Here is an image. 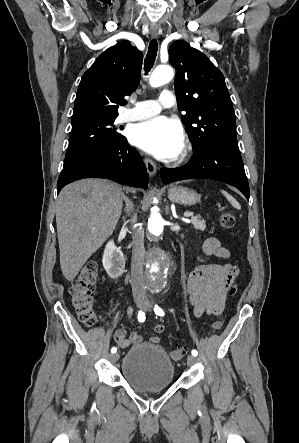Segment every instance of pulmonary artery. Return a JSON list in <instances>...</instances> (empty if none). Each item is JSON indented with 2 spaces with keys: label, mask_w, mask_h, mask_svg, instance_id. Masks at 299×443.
<instances>
[{
  "label": "pulmonary artery",
  "mask_w": 299,
  "mask_h": 443,
  "mask_svg": "<svg viewBox=\"0 0 299 443\" xmlns=\"http://www.w3.org/2000/svg\"><path fill=\"white\" fill-rule=\"evenodd\" d=\"M176 103V99L171 91L164 90L161 92L158 101L145 100V101H133V107L125 110L119 119L122 122L138 121L150 118L157 115L162 108L173 107Z\"/></svg>",
  "instance_id": "obj_1"
}]
</instances>
